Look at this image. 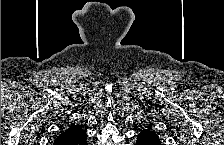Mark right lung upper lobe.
Listing matches in <instances>:
<instances>
[{"label": "right lung upper lobe", "mask_w": 224, "mask_h": 145, "mask_svg": "<svg viewBox=\"0 0 224 145\" xmlns=\"http://www.w3.org/2000/svg\"><path fill=\"white\" fill-rule=\"evenodd\" d=\"M86 137L87 134L75 125L59 134L54 141V145H79L78 142L86 139Z\"/></svg>", "instance_id": "right-lung-upper-lobe-1"}]
</instances>
